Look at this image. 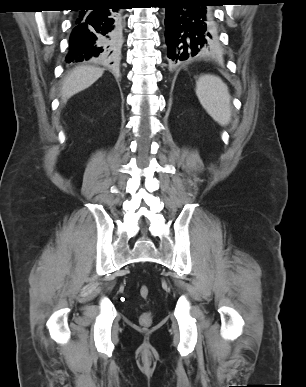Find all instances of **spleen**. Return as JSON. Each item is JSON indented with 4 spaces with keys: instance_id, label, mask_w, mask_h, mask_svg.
I'll list each match as a JSON object with an SVG mask.
<instances>
[{
    "instance_id": "3e777b00",
    "label": "spleen",
    "mask_w": 306,
    "mask_h": 387,
    "mask_svg": "<svg viewBox=\"0 0 306 387\" xmlns=\"http://www.w3.org/2000/svg\"><path fill=\"white\" fill-rule=\"evenodd\" d=\"M196 95L206 112L219 125L231 120V97L227 85L217 76L203 75L196 82Z\"/></svg>"
}]
</instances>
